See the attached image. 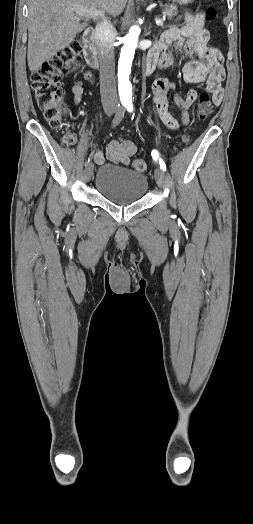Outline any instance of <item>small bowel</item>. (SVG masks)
I'll return each instance as SVG.
<instances>
[{"instance_id":"1","label":"small bowel","mask_w":253,"mask_h":524,"mask_svg":"<svg viewBox=\"0 0 253 524\" xmlns=\"http://www.w3.org/2000/svg\"><path fill=\"white\" fill-rule=\"evenodd\" d=\"M210 33L205 28V16L197 14L188 16L181 27H170L163 30L157 39L156 45L149 51L146 63L153 66L156 77L152 85V106L158 120L168 129L177 130L190 123L189 109L198 98L194 88L189 89L187 95H176L174 103L181 113L177 120L171 112L169 94L174 86L160 74L162 69L171 66L176 57L181 55L185 62L181 66L182 79L190 84L207 82V90L212 95L215 103H219L223 96L222 82L224 79L223 58L220 51L209 43ZM173 47V52L167 50ZM74 101L80 104L82 95L73 93ZM152 119L149 112L148 120ZM90 148H94L90 145ZM138 152L134 141L124 139H111L107 144L106 155L97 150L94 159L97 164L106 161L114 164L128 165L131 158Z\"/></svg>"}]
</instances>
